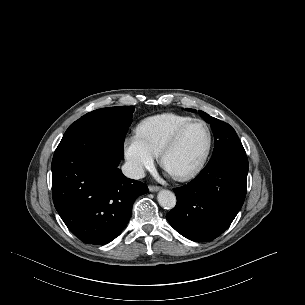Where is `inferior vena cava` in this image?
<instances>
[{"label":"inferior vena cava","instance_id":"1","mask_svg":"<svg viewBox=\"0 0 305 305\" xmlns=\"http://www.w3.org/2000/svg\"><path fill=\"white\" fill-rule=\"evenodd\" d=\"M122 172L126 177L131 179H141L145 177L143 167L139 164L132 162H126L122 166Z\"/></svg>","mask_w":305,"mask_h":305}]
</instances>
